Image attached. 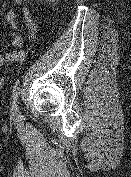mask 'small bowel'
<instances>
[{
    "label": "small bowel",
    "instance_id": "c3829d8e",
    "mask_svg": "<svg viewBox=\"0 0 131 177\" xmlns=\"http://www.w3.org/2000/svg\"><path fill=\"white\" fill-rule=\"evenodd\" d=\"M13 4L19 7L22 11L25 24L28 29V37L32 38L36 33V24L35 18L30 13L25 5V0H12ZM6 19L9 23V37L12 42L13 51L4 55H0V66H2L5 62L20 60L24 56V52L21 49L23 46V38L18 32V25L15 21V12L14 9H9L6 14Z\"/></svg>",
    "mask_w": 131,
    "mask_h": 177
}]
</instances>
